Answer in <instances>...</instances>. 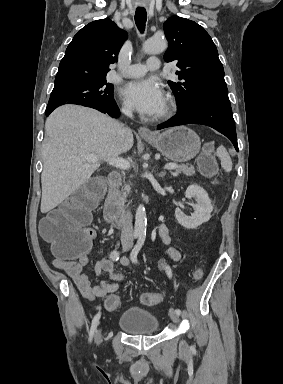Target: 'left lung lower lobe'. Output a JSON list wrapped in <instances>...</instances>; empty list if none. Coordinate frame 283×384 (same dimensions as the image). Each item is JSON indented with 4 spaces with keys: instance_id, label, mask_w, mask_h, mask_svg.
Here are the masks:
<instances>
[{
    "instance_id": "obj_1",
    "label": "left lung lower lobe",
    "mask_w": 283,
    "mask_h": 384,
    "mask_svg": "<svg viewBox=\"0 0 283 384\" xmlns=\"http://www.w3.org/2000/svg\"><path fill=\"white\" fill-rule=\"evenodd\" d=\"M184 124L208 125L228 137L238 151L236 130L229 100H215L198 103L159 124L157 129Z\"/></svg>"
}]
</instances>
